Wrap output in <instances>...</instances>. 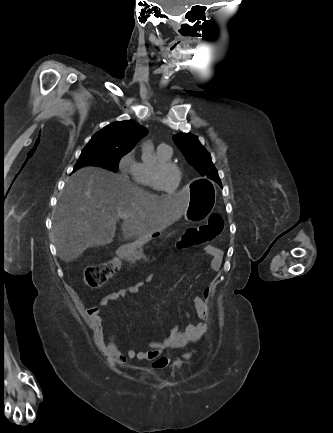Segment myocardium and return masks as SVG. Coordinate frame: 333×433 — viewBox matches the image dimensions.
<instances>
[{
  "label": "myocardium",
  "mask_w": 333,
  "mask_h": 433,
  "mask_svg": "<svg viewBox=\"0 0 333 433\" xmlns=\"http://www.w3.org/2000/svg\"><path fill=\"white\" fill-rule=\"evenodd\" d=\"M167 169H174L177 171L178 176L180 177V168L177 164L172 163V162H158L153 166L152 169V178L154 181V184L157 186V188L161 191H163L165 194L167 195H174L177 193L178 189H179V183H177L176 188L174 191H167L162 183H161V176L162 173L167 170Z\"/></svg>",
  "instance_id": "1"
}]
</instances>
